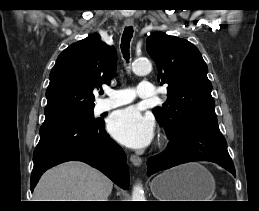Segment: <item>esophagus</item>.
Returning <instances> with one entry per match:
<instances>
[{
	"label": "esophagus",
	"instance_id": "obj_1",
	"mask_svg": "<svg viewBox=\"0 0 259 211\" xmlns=\"http://www.w3.org/2000/svg\"><path fill=\"white\" fill-rule=\"evenodd\" d=\"M132 25H133L132 22H125V26H127V27L132 26ZM130 161L132 162V164L134 166H140L142 164V159L136 155H131Z\"/></svg>",
	"mask_w": 259,
	"mask_h": 211
}]
</instances>
